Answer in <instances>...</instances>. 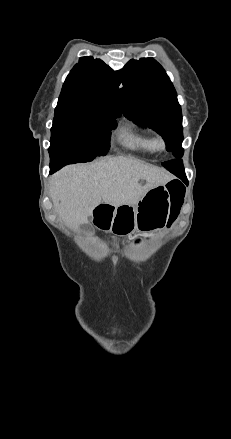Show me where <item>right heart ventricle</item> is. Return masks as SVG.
I'll use <instances>...</instances> for the list:
<instances>
[{
	"label": "right heart ventricle",
	"mask_w": 231,
	"mask_h": 439,
	"mask_svg": "<svg viewBox=\"0 0 231 439\" xmlns=\"http://www.w3.org/2000/svg\"><path fill=\"white\" fill-rule=\"evenodd\" d=\"M122 144L132 150L151 153L156 150L155 139L147 131L125 130L122 133Z\"/></svg>",
	"instance_id": "right-heart-ventricle-1"
}]
</instances>
